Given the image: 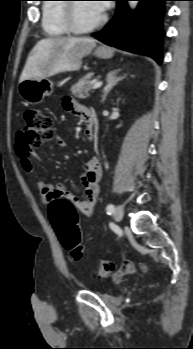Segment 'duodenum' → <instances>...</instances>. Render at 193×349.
Masks as SVG:
<instances>
[{"label":"duodenum","mask_w":193,"mask_h":349,"mask_svg":"<svg viewBox=\"0 0 193 349\" xmlns=\"http://www.w3.org/2000/svg\"><path fill=\"white\" fill-rule=\"evenodd\" d=\"M84 119H85V126H86V130H88L89 132L92 131L93 128V115L89 110H85L84 111Z\"/></svg>","instance_id":"410a0bca"}]
</instances>
